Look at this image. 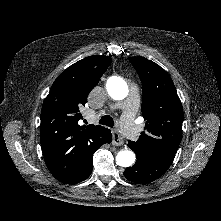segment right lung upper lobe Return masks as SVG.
Returning <instances> with one entry per match:
<instances>
[{
    "label": "right lung upper lobe",
    "mask_w": 221,
    "mask_h": 221,
    "mask_svg": "<svg viewBox=\"0 0 221 221\" xmlns=\"http://www.w3.org/2000/svg\"><path fill=\"white\" fill-rule=\"evenodd\" d=\"M111 64L110 56H89L68 67L53 83L41 111L40 141L51 174L67 184L91 149L105 143L108 129L79 125V108Z\"/></svg>",
    "instance_id": "right-lung-upper-lobe-1"
}]
</instances>
